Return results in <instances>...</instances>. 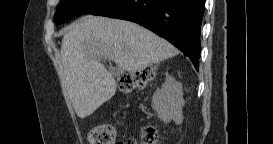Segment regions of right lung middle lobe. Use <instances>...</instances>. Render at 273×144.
Segmentation results:
<instances>
[{
	"label": "right lung middle lobe",
	"mask_w": 273,
	"mask_h": 144,
	"mask_svg": "<svg viewBox=\"0 0 273 144\" xmlns=\"http://www.w3.org/2000/svg\"><path fill=\"white\" fill-rule=\"evenodd\" d=\"M109 0H60L54 16L56 24L82 14H90Z\"/></svg>",
	"instance_id": "right-lung-middle-lobe-1"
}]
</instances>
